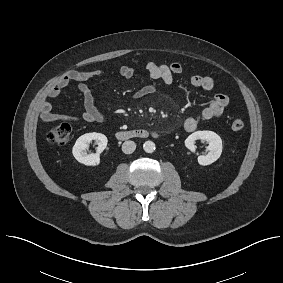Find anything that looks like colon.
<instances>
[{"label": "colon", "instance_id": "obj_1", "mask_svg": "<svg viewBox=\"0 0 283 283\" xmlns=\"http://www.w3.org/2000/svg\"><path fill=\"white\" fill-rule=\"evenodd\" d=\"M244 125V121L240 118L234 119L231 123L232 129L235 131L242 130ZM71 131L70 124L64 122L50 129L47 133V139L52 144L65 145L70 139Z\"/></svg>", "mask_w": 283, "mask_h": 283}]
</instances>
